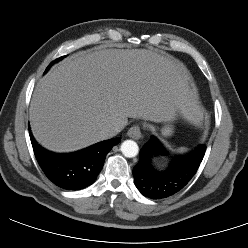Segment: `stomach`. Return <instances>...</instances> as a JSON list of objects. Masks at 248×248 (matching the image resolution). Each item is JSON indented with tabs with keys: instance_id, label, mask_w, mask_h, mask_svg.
<instances>
[{
	"instance_id": "0dacf381",
	"label": "stomach",
	"mask_w": 248,
	"mask_h": 248,
	"mask_svg": "<svg viewBox=\"0 0 248 248\" xmlns=\"http://www.w3.org/2000/svg\"><path fill=\"white\" fill-rule=\"evenodd\" d=\"M176 112L168 119L165 121V125L161 129V133L163 136L168 137L171 136L173 133V126L171 122L175 119Z\"/></svg>"
}]
</instances>
